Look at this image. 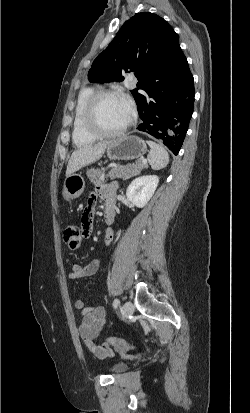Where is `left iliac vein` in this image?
I'll use <instances>...</instances> for the list:
<instances>
[{"label":"left iliac vein","mask_w":250,"mask_h":413,"mask_svg":"<svg viewBox=\"0 0 250 413\" xmlns=\"http://www.w3.org/2000/svg\"><path fill=\"white\" fill-rule=\"evenodd\" d=\"M134 312V306L130 301H127L123 304V314L125 317H129Z\"/></svg>","instance_id":"left-iliac-vein-1"}]
</instances>
